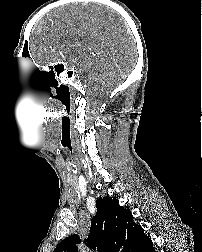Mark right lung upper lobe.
Returning a JSON list of instances; mask_svg holds the SVG:
<instances>
[{"mask_svg":"<svg viewBox=\"0 0 202 252\" xmlns=\"http://www.w3.org/2000/svg\"><path fill=\"white\" fill-rule=\"evenodd\" d=\"M97 213L91 220L87 245L95 252H142L152 241L143 228L133 222L129 209L119 205L116 198H99ZM74 234L59 243L54 252H78Z\"/></svg>","mask_w":202,"mask_h":252,"instance_id":"obj_1","label":"right lung upper lobe"}]
</instances>
